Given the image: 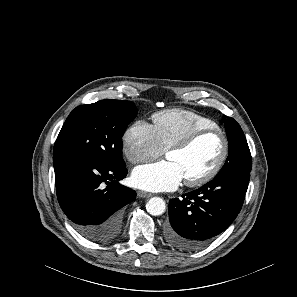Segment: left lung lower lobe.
Listing matches in <instances>:
<instances>
[{
    "mask_svg": "<svg viewBox=\"0 0 297 297\" xmlns=\"http://www.w3.org/2000/svg\"><path fill=\"white\" fill-rule=\"evenodd\" d=\"M250 174L220 175L202 187L170 199L166 241L173 247L194 251L227 229L241 210Z\"/></svg>",
    "mask_w": 297,
    "mask_h": 297,
    "instance_id": "left-lung-lower-lobe-1",
    "label": "left lung lower lobe"
}]
</instances>
